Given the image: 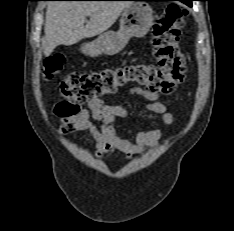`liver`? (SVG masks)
Segmentation results:
<instances>
[{
    "label": "liver",
    "mask_w": 234,
    "mask_h": 231,
    "mask_svg": "<svg viewBox=\"0 0 234 231\" xmlns=\"http://www.w3.org/2000/svg\"><path fill=\"white\" fill-rule=\"evenodd\" d=\"M129 1H52L45 18L44 55L58 45L70 46L83 38L94 37L109 29ZM90 20L87 22L86 17Z\"/></svg>",
    "instance_id": "obj_1"
}]
</instances>
